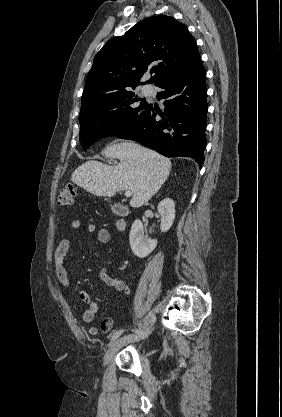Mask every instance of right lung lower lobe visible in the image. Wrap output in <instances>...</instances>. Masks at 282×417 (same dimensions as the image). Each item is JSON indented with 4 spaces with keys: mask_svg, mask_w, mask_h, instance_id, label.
Returning <instances> with one entry per match:
<instances>
[{
    "mask_svg": "<svg viewBox=\"0 0 282 417\" xmlns=\"http://www.w3.org/2000/svg\"><path fill=\"white\" fill-rule=\"evenodd\" d=\"M157 86L164 89L157 93V98L166 99L163 103L166 118L156 119L159 110L148 104L131 127L114 136L137 141L166 157H192L202 168L208 105L206 74L201 59Z\"/></svg>",
    "mask_w": 282,
    "mask_h": 417,
    "instance_id": "98d812e1",
    "label": "right lung lower lobe"
}]
</instances>
